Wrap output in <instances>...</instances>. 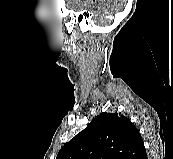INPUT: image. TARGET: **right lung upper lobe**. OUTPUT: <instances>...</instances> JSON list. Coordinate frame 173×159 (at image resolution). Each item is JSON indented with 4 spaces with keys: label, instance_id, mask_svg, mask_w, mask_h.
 <instances>
[{
    "label": "right lung upper lobe",
    "instance_id": "obj_1",
    "mask_svg": "<svg viewBox=\"0 0 173 159\" xmlns=\"http://www.w3.org/2000/svg\"><path fill=\"white\" fill-rule=\"evenodd\" d=\"M144 151L141 134L127 117L104 112L67 142L56 159H137Z\"/></svg>",
    "mask_w": 173,
    "mask_h": 159
}]
</instances>
